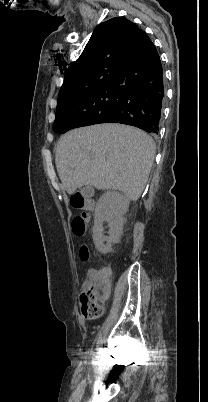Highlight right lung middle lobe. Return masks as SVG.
Here are the masks:
<instances>
[{"mask_svg": "<svg viewBox=\"0 0 208 402\" xmlns=\"http://www.w3.org/2000/svg\"><path fill=\"white\" fill-rule=\"evenodd\" d=\"M113 81H101L58 96L54 131L61 121L85 120L111 111L117 104Z\"/></svg>", "mask_w": 208, "mask_h": 402, "instance_id": "1", "label": "right lung middle lobe"}]
</instances>
